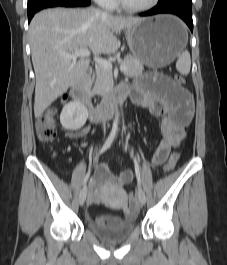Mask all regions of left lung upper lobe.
Instances as JSON below:
<instances>
[{
  "mask_svg": "<svg viewBox=\"0 0 227 265\" xmlns=\"http://www.w3.org/2000/svg\"><path fill=\"white\" fill-rule=\"evenodd\" d=\"M166 4H186L192 5L191 0H159L158 5H166Z\"/></svg>",
  "mask_w": 227,
  "mask_h": 265,
  "instance_id": "1",
  "label": "left lung upper lobe"
}]
</instances>
